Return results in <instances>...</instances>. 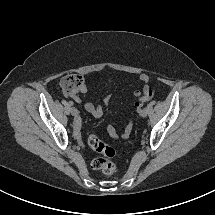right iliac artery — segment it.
Segmentation results:
<instances>
[{"instance_id": "82829eb1", "label": "right iliac artery", "mask_w": 215, "mask_h": 215, "mask_svg": "<svg viewBox=\"0 0 215 215\" xmlns=\"http://www.w3.org/2000/svg\"><path fill=\"white\" fill-rule=\"evenodd\" d=\"M68 105L72 106L73 105V102L72 101H69L67 102Z\"/></svg>"}]
</instances>
